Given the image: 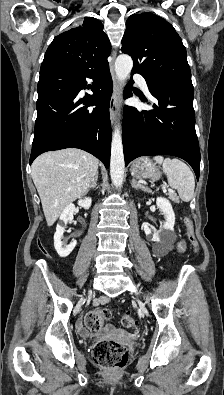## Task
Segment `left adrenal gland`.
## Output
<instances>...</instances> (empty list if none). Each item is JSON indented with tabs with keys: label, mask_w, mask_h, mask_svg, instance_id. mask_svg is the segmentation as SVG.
<instances>
[{
	"label": "left adrenal gland",
	"mask_w": 224,
	"mask_h": 395,
	"mask_svg": "<svg viewBox=\"0 0 224 395\" xmlns=\"http://www.w3.org/2000/svg\"><path fill=\"white\" fill-rule=\"evenodd\" d=\"M131 185H132L133 188H136V189H142V190L147 191V192L151 191L148 187H145V186L139 184L134 178L131 181Z\"/></svg>",
	"instance_id": "left-adrenal-gland-1"
}]
</instances>
